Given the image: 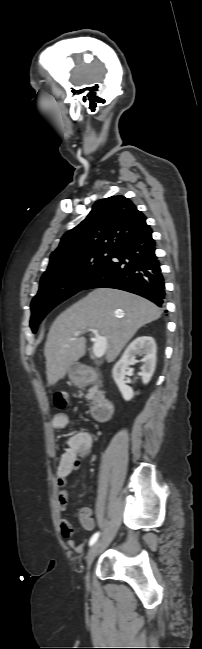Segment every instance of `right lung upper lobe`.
<instances>
[{
  "mask_svg": "<svg viewBox=\"0 0 202 649\" xmlns=\"http://www.w3.org/2000/svg\"><path fill=\"white\" fill-rule=\"evenodd\" d=\"M145 221V215L124 196L97 201L86 219L63 235L43 276L59 271L65 263L80 255L93 251L113 252L127 239L149 229Z\"/></svg>",
  "mask_w": 202,
  "mask_h": 649,
  "instance_id": "1",
  "label": "right lung upper lobe"
}]
</instances>
